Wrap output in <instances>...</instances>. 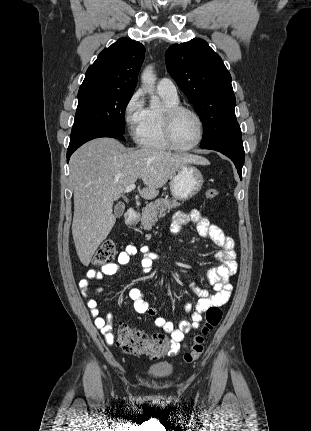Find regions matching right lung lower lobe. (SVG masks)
<instances>
[{
    "label": "right lung lower lobe",
    "mask_w": 311,
    "mask_h": 431,
    "mask_svg": "<svg viewBox=\"0 0 311 431\" xmlns=\"http://www.w3.org/2000/svg\"><path fill=\"white\" fill-rule=\"evenodd\" d=\"M99 137H112L125 140L122 133L106 128L93 127L82 130L71 135L70 144L67 150V161H69L70 156L78 147L89 140Z\"/></svg>",
    "instance_id": "1"
}]
</instances>
